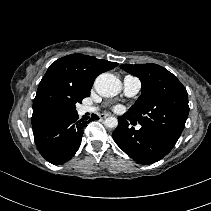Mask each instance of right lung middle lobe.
<instances>
[{
    "instance_id": "dd1d6c3e",
    "label": "right lung middle lobe",
    "mask_w": 211,
    "mask_h": 211,
    "mask_svg": "<svg viewBox=\"0 0 211 211\" xmlns=\"http://www.w3.org/2000/svg\"><path fill=\"white\" fill-rule=\"evenodd\" d=\"M85 98V96H70L68 99L64 102V111L65 114H73L76 113V103L81 101Z\"/></svg>"
}]
</instances>
